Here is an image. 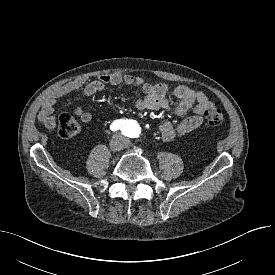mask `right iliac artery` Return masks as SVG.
Here are the masks:
<instances>
[{"label":"right iliac artery","instance_id":"82829eb1","mask_svg":"<svg viewBox=\"0 0 275 275\" xmlns=\"http://www.w3.org/2000/svg\"><path fill=\"white\" fill-rule=\"evenodd\" d=\"M110 129L112 131L124 130L125 129V121L124 120H116L110 125Z\"/></svg>","mask_w":275,"mask_h":275}]
</instances>
